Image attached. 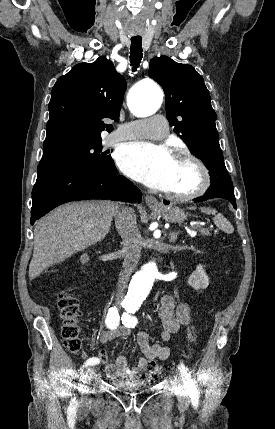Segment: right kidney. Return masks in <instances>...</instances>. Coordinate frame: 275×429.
<instances>
[{
	"label": "right kidney",
	"instance_id": "ca27d5eb",
	"mask_svg": "<svg viewBox=\"0 0 275 429\" xmlns=\"http://www.w3.org/2000/svg\"><path fill=\"white\" fill-rule=\"evenodd\" d=\"M80 261H81L82 263H86V262H88V261H89V257H88V255H87V254L82 255V256H81V258H80Z\"/></svg>",
	"mask_w": 275,
	"mask_h": 429
}]
</instances>
